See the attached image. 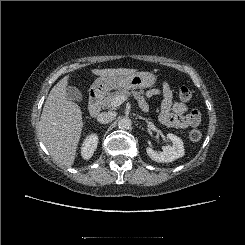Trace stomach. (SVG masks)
Here are the masks:
<instances>
[{"instance_id":"stomach-1","label":"stomach","mask_w":245,"mask_h":245,"mask_svg":"<svg viewBox=\"0 0 245 245\" xmlns=\"http://www.w3.org/2000/svg\"><path fill=\"white\" fill-rule=\"evenodd\" d=\"M156 77L150 72H136L125 76H100L92 84V89L98 94H104L113 89L130 90L145 89L154 86Z\"/></svg>"}]
</instances>
